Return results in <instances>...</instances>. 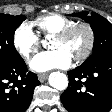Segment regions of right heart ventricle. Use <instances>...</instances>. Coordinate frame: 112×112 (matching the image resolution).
I'll list each match as a JSON object with an SVG mask.
<instances>
[{
    "mask_svg": "<svg viewBox=\"0 0 112 112\" xmlns=\"http://www.w3.org/2000/svg\"><path fill=\"white\" fill-rule=\"evenodd\" d=\"M74 23H76L75 20L58 13H49L33 21V25L38 28L40 33L45 35H55Z\"/></svg>",
    "mask_w": 112,
    "mask_h": 112,
    "instance_id": "1",
    "label": "right heart ventricle"
}]
</instances>
